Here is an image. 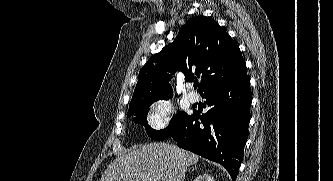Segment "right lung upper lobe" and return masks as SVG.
<instances>
[{
	"label": "right lung upper lobe",
	"mask_w": 333,
	"mask_h": 181,
	"mask_svg": "<svg viewBox=\"0 0 333 181\" xmlns=\"http://www.w3.org/2000/svg\"><path fill=\"white\" fill-rule=\"evenodd\" d=\"M176 70L186 81L201 77L198 91L246 76L240 49L219 24L205 16L192 18L161 52L151 56L139 72L129 109L150 100L173 97L169 81Z\"/></svg>",
	"instance_id": "cb5924a9"
}]
</instances>
